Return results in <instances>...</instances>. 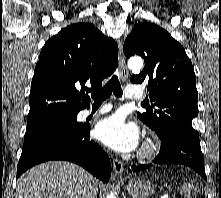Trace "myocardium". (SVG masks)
<instances>
[{
	"mask_svg": "<svg viewBox=\"0 0 221 198\" xmlns=\"http://www.w3.org/2000/svg\"><path fill=\"white\" fill-rule=\"evenodd\" d=\"M158 150H159V143L157 139L154 137H148L144 141L138 153V157L139 159L142 160L150 159L158 152Z\"/></svg>",
	"mask_w": 221,
	"mask_h": 198,
	"instance_id": "obj_1",
	"label": "myocardium"
}]
</instances>
